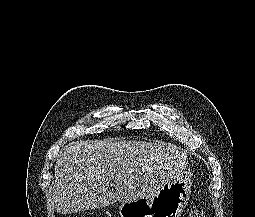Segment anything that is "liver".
I'll use <instances>...</instances> for the list:
<instances>
[{
    "instance_id": "1",
    "label": "liver",
    "mask_w": 255,
    "mask_h": 217,
    "mask_svg": "<svg viewBox=\"0 0 255 217\" xmlns=\"http://www.w3.org/2000/svg\"><path fill=\"white\" fill-rule=\"evenodd\" d=\"M186 152L143 141L78 140L56 161L52 201L72 214L150 196L181 174ZM115 191L109 190L110 181Z\"/></svg>"
}]
</instances>
